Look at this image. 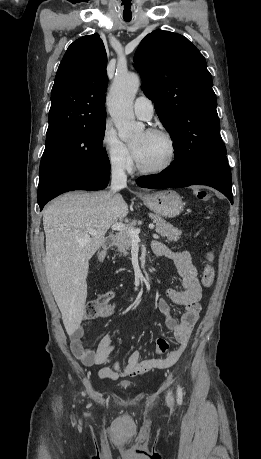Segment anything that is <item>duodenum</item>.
Here are the masks:
<instances>
[{
    "label": "duodenum",
    "instance_id": "1",
    "mask_svg": "<svg viewBox=\"0 0 261 459\" xmlns=\"http://www.w3.org/2000/svg\"><path fill=\"white\" fill-rule=\"evenodd\" d=\"M114 240H115V236H114V235H108V236L104 239V241H103V243H102V247H103L104 249H108L109 247H111V246L113 245ZM152 249H153V251H154L155 253H158V247H157L154 243L152 244Z\"/></svg>",
    "mask_w": 261,
    "mask_h": 459
}]
</instances>
